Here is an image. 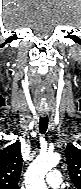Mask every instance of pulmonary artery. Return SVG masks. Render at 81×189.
I'll list each match as a JSON object with an SVG mask.
<instances>
[{
	"label": "pulmonary artery",
	"mask_w": 81,
	"mask_h": 189,
	"mask_svg": "<svg viewBox=\"0 0 81 189\" xmlns=\"http://www.w3.org/2000/svg\"><path fill=\"white\" fill-rule=\"evenodd\" d=\"M62 178L58 170H51L46 176V183L53 188H58L61 185Z\"/></svg>",
	"instance_id": "obj_1"
}]
</instances>
